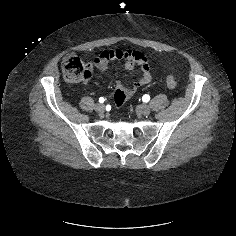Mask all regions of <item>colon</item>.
Returning a JSON list of instances; mask_svg holds the SVG:
<instances>
[{
	"mask_svg": "<svg viewBox=\"0 0 236 236\" xmlns=\"http://www.w3.org/2000/svg\"><path fill=\"white\" fill-rule=\"evenodd\" d=\"M61 71L64 79L71 83L85 81L92 75L88 64L74 54L67 55L62 60ZM166 83L169 89H175L177 86L176 80L172 75L167 76ZM116 102L119 106L124 104L125 97L122 92L116 93Z\"/></svg>",
	"mask_w": 236,
	"mask_h": 236,
	"instance_id": "5ec220e1",
	"label": "colon"
}]
</instances>
